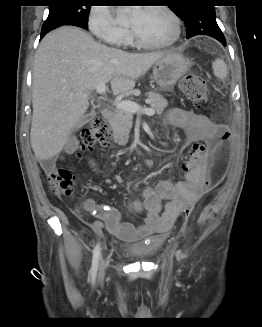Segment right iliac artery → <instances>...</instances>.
Returning a JSON list of instances; mask_svg holds the SVG:
<instances>
[{"label": "right iliac artery", "instance_id": "obj_1", "mask_svg": "<svg viewBox=\"0 0 262 327\" xmlns=\"http://www.w3.org/2000/svg\"><path fill=\"white\" fill-rule=\"evenodd\" d=\"M100 245L97 244L93 250V258H92V266L90 269L91 272V279L92 282L95 281L97 269H98V263H99V256H100Z\"/></svg>", "mask_w": 262, "mask_h": 327}]
</instances>
